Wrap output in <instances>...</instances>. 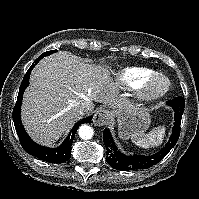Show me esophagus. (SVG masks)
Segmentation results:
<instances>
[{"instance_id":"obj_1","label":"esophagus","mask_w":199,"mask_h":199,"mask_svg":"<svg viewBox=\"0 0 199 199\" xmlns=\"http://www.w3.org/2000/svg\"><path fill=\"white\" fill-rule=\"evenodd\" d=\"M111 118H112V113L109 110L100 109L95 113L93 117V123L96 126L101 127L107 125Z\"/></svg>"}]
</instances>
